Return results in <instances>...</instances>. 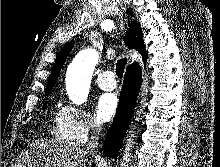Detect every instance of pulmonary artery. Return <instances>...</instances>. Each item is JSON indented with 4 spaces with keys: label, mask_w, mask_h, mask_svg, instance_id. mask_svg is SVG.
Instances as JSON below:
<instances>
[{
    "label": "pulmonary artery",
    "mask_w": 220,
    "mask_h": 167,
    "mask_svg": "<svg viewBox=\"0 0 220 167\" xmlns=\"http://www.w3.org/2000/svg\"><path fill=\"white\" fill-rule=\"evenodd\" d=\"M97 85L106 91H111L116 87L114 73L110 70L101 72L96 78Z\"/></svg>",
    "instance_id": "obj_1"
}]
</instances>
